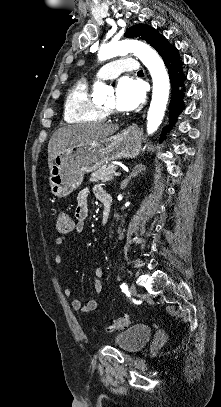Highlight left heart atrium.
<instances>
[{"label":"left heart atrium","instance_id":"39dd6f15","mask_svg":"<svg viewBox=\"0 0 221 407\" xmlns=\"http://www.w3.org/2000/svg\"><path fill=\"white\" fill-rule=\"evenodd\" d=\"M117 105L123 110H133L145 99L143 84L132 77L125 76L118 80L115 89Z\"/></svg>","mask_w":221,"mask_h":407}]
</instances>
